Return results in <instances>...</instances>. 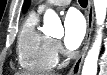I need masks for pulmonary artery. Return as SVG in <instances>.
<instances>
[{
  "label": "pulmonary artery",
  "instance_id": "e3ab8cb5",
  "mask_svg": "<svg viewBox=\"0 0 107 75\" xmlns=\"http://www.w3.org/2000/svg\"><path fill=\"white\" fill-rule=\"evenodd\" d=\"M69 3H70V0H49L42 3L39 6L38 10L39 12H42L49 6H65V5H68Z\"/></svg>",
  "mask_w": 107,
  "mask_h": 75
}]
</instances>
